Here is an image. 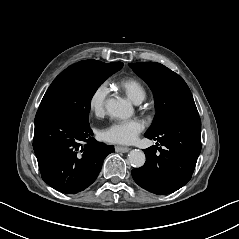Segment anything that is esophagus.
<instances>
[{
  "label": "esophagus",
  "instance_id": "1",
  "mask_svg": "<svg viewBox=\"0 0 239 239\" xmlns=\"http://www.w3.org/2000/svg\"><path fill=\"white\" fill-rule=\"evenodd\" d=\"M130 150L129 147H122V146H115V151L116 152H122V153H126Z\"/></svg>",
  "mask_w": 239,
  "mask_h": 239
}]
</instances>
